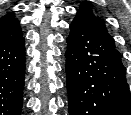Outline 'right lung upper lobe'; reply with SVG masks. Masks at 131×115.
Instances as JSON below:
<instances>
[{"mask_svg": "<svg viewBox=\"0 0 131 115\" xmlns=\"http://www.w3.org/2000/svg\"><path fill=\"white\" fill-rule=\"evenodd\" d=\"M21 35L19 22L13 13L0 18V46L15 42Z\"/></svg>", "mask_w": 131, "mask_h": 115, "instance_id": "1", "label": "right lung upper lobe"}]
</instances>
